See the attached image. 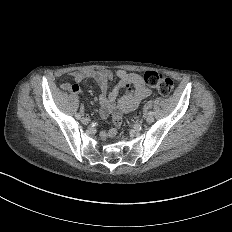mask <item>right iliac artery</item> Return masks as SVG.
Returning <instances> with one entry per match:
<instances>
[{
	"instance_id": "1",
	"label": "right iliac artery",
	"mask_w": 232,
	"mask_h": 232,
	"mask_svg": "<svg viewBox=\"0 0 232 232\" xmlns=\"http://www.w3.org/2000/svg\"><path fill=\"white\" fill-rule=\"evenodd\" d=\"M75 117H76V119H80V118H81V115H80L79 113H76V114H75Z\"/></svg>"
}]
</instances>
